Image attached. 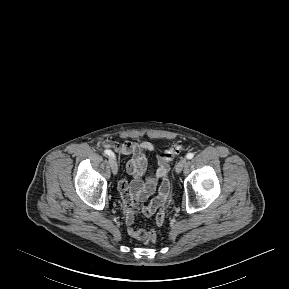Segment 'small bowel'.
<instances>
[{"label": "small bowel", "instance_id": "small-bowel-1", "mask_svg": "<svg viewBox=\"0 0 289 289\" xmlns=\"http://www.w3.org/2000/svg\"><path fill=\"white\" fill-rule=\"evenodd\" d=\"M105 147L112 148L123 155L131 156L126 163V172L132 176L128 181L123 178L118 183V190L125 209L126 225L128 234L140 241H145L151 230L144 228H135L134 216L137 213H143L146 216H152L157 212L156 224L161 226L167 213V200L172 192L170 181L168 180L169 164L164 155L156 154L157 168L153 172H148V154H155V147L150 142H123L121 144L105 141ZM161 179V180H160ZM160 180V189L158 195L148 204L143 205L150 195H152Z\"/></svg>", "mask_w": 289, "mask_h": 289}]
</instances>
